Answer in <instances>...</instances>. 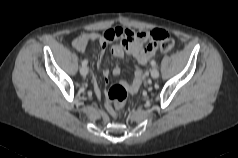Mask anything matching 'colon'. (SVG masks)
Instances as JSON below:
<instances>
[{
	"instance_id": "5ec220e1",
	"label": "colon",
	"mask_w": 238,
	"mask_h": 158,
	"mask_svg": "<svg viewBox=\"0 0 238 158\" xmlns=\"http://www.w3.org/2000/svg\"><path fill=\"white\" fill-rule=\"evenodd\" d=\"M174 48V41L168 35H162L159 39V49L168 52ZM128 97L127 88L122 84H115L110 87L106 94L108 109L113 115L120 114L126 105Z\"/></svg>"
}]
</instances>
